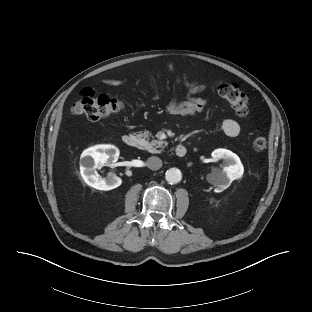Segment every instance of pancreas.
Returning <instances> with one entry per match:
<instances>
[{
    "label": "pancreas",
    "instance_id": "cf45deb5",
    "mask_svg": "<svg viewBox=\"0 0 312 312\" xmlns=\"http://www.w3.org/2000/svg\"><path fill=\"white\" fill-rule=\"evenodd\" d=\"M149 136H151L149 131H144L137 135L140 140V148L148 150L150 153H160L161 150H159V148H164L167 145V142L158 140H152L149 142Z\"/></svg>",
    "mask_w": 312,
    "mask_h": 312
}]
</instances>
